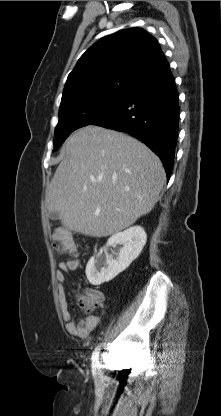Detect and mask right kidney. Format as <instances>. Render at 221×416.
Instances as JSON below:
<instances>
[{"mask_svg":"<svg viewBox=\"0 0 221 416\" xmlns=\"http://www.w3.org/2000/svg\"><path fill=\"white\" fill-rule=\"evenodd\" d=\"M147 235L141 226L130 227L123 232L112 235L106 246L123 245L118 256L102 255L104 248L91 257L86 266V276L92 285L108 282L124 271L136 259L146 244Z\"/></svg>","mask_w":221,"mask_h":416,"instance_id":"right-kidney-1","label":"right kidney"}]
</instances>
